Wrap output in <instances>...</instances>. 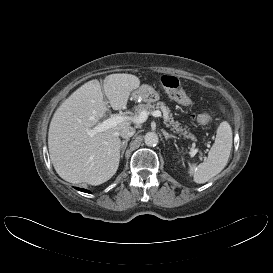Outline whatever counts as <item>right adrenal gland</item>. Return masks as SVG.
I'll use <instances>...</instances> for the list:
<instances>
[{
  "label": "right adrenal gland",
  "mask_w": 273,
  "mask_h": 273,
  "mask_svg": "<svg viewBox=\"0 0 273 273\" xmlns=\"http://www.w3.org/2000/svg\"><path fill=\"white\" fill-rule=\"evenodd\" d=\"M129 139H125L121 142V158H123Z\"/></svg>",
  "instance_id": "2a0ac1e0"
}]
</instances>
